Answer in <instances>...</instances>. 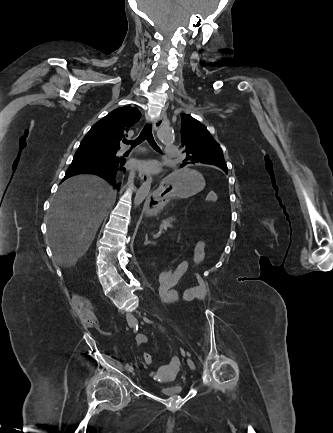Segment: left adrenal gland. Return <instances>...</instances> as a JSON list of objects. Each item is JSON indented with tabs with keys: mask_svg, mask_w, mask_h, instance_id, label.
<instances>
[{
	"mask_svg": "<svg viewBox=\"0 0 333 433\" xmlns=\"http://www.w3.org/2000/svg\"><path fill=\"white\" fill-rule=\"evenodd\" d=\"M149 244H155V242L149 241L148 240V234L145 235V242H144V246H147Z\"/></svg>",
	"mask_w": 333,
	"mask_h": 433,
	"instance_id": "1",
	"label": "left adrenal gland"
}]
</instances>
